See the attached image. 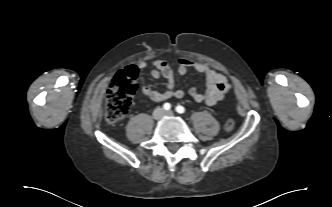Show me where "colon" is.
<instances>
[{
	"instance_id": "colon-1",
	"label": "colon",
	"mask_w": 332,
	"mask_h": 207,
	"mask_svg": "<svg viewBox=\"0 0 332 207\" xmlns=\"http://www.w3.org/2000/svg\"><path fill=\"white\" fill-rule=\"evenodd\" d=\"M138 71L135 67L129 66L117 71L107 91L105 118L109 123H117L129 112L133 96L137 92ZM235 122L228 119L225 129L232 131Z\"/></svg>"
}]
</instances>
